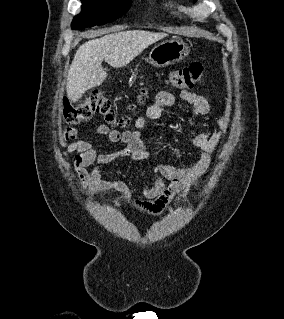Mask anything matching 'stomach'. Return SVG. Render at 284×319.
Returning a JSON list of instances; mask_svg holds the SVG:
<instances>
[{
    "label": "stomach",
    "mask_w": 284,
    "mask_h": 319,
    "mask_svg": "<svg viewBox=\"0 0 284 319\" xmlns=\"http://www.w3.org/2000/svg\"><path fill=\"white\" fill-rule=\"evenodd\" d=\"M189 52L190 49L183 40H167L151 50L149 62L156 67H164L183 60Z\"/></svg>",
    "instance_id": "0dacf381"
}]
</instances>
